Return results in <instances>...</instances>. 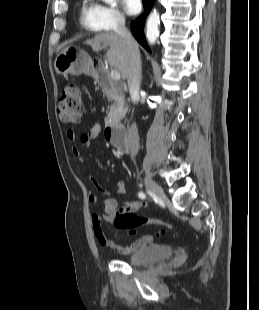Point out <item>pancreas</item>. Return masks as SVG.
Listing matches in <instances>:
<instances>
[{
    "label": "pancreas",
    "mask_w": 259,
    "mask_h": 310,
    "mask_svg": "<svg viewBox=\"0 0 259 310\" xmlns=\"http://www.w3.org/2000/svg\"><path fill=\"white\" fill-rule=\"evenodd\" d=\"M110 99L114 102L112 105H110L105 122L112 125L120 122L121 118L126 113V108L124 106L123 99L118 94L112 93Z\"/></svg>",
    "instance_id": "cf45deb5"
}]
</instances>
